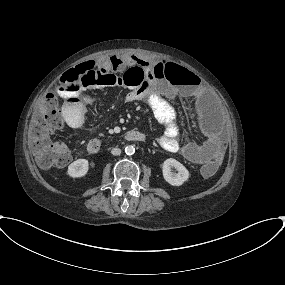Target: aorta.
<instances>
[{"label":"aorta","mask_w":285,"mask_h":285,"mask_svg":"<svg viewBox=\"0 0 285 285\" xmlns=\"http://www.w3.org/2000/svg\"><path fill=\"white\" fill-rule=\"evenodd\" d=\"M125 153H126L127 155H133V154L135 153V147L132 146V145H127V146L125 147Z\"/></svg>","instance_id":"762f6f07"}]
</instances>
